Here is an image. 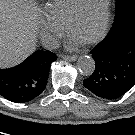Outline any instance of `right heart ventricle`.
<instances>
[{
	"mask_svg": "<svg viewBox=\"0 0 135 135\" xmlns=\"http://www.w3.org/2000/svg\"><path fill=\"white\" fill-rule=\"evenodd\" d=\"M80 0H50L45 8L46 16L60 28H65Z\"/></svg>",
	"mask_w": 135,
	"mask_h": 135,
	"instance_id": "right-heart-ventricle-1",
	"label": "right heart ventricle"
}]
</instances>
